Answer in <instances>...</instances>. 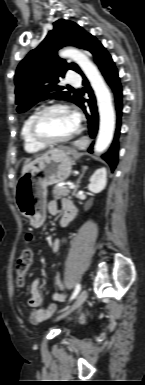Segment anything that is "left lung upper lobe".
<instances>
[{"label": "left lung upper lobe", "instance_id": "5c2ea615", "mask_svg": "<svg viewBox=\"0 0 145 385\" xmlns=\"http://www.w3.org/2000/svg\"><path fill=\"white\" fill-rule=\"evenodd\" d=\"M92 35L79 25L58 20L54 29L48 33L42 43L18 65L15 74L17 111L23 112L37 102L46 99L68 100L77 105L82 98L78 94L70 95L60 86L59 78L64 77L68 69L80 72L75 63H67L57 56V50L66 45H73L87 50Z\"/></svg>", "mask_w": 145, "mask_h": 385}]
</instances>
